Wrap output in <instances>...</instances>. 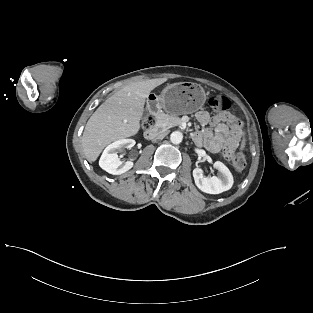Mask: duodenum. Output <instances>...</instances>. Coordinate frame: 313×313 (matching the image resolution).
I'll list each match as a JSON object with an SVG mask.
<instances>
[{
  "instance_id": "1",
  "label": "duodenum",
  "mask_w": 313,
  "mask_h": 313,
  "mask_svg": "<svg viewBox=\"0 0 313 313\" xmlns=\"http://www.w3.org/2000/svg\"><path fill=\"white\" fill-rule=\"evenodd\" d=\"M158 135V129L153 126L145 131V137L149 140L155 139Z\"/></svg>"
}]
</instances>
